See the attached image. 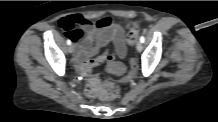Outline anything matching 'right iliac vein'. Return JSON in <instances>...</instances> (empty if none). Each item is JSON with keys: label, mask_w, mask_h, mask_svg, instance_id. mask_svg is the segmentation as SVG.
Wrapping results in <instances>:
<instances>
[{"label": "right iliac vein", "mask_w": 218, "mask_h": 122, "mask_svg": "<svg viewBox=\"0 0 218 122\" xmlns=\"http://www.w3.org/2000/svg\"><path fill=\"white\" fill-rule=\"evenodd\" d=\"M68 53H73L74 52V46L73 45H69V47L67 48Z\"/></svg>", "instance_id": "63e3f726"}]
</instances>
